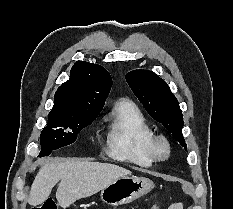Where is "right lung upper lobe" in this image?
I'll return each mask as SVG.
<instances>
[{
    "mask_svg": "<svg viewBox=\"0 0 233 209\" xmlns=\"http://www.w3.org/2000/svg\"><path fill=\"white\" fill-rule=\"evenodd\" d=\"M112 78L102 66L84 61L76 62L70 79L55 93V103L49 115H57L74 109H101L110 92Z\"/></svg>",
    "mask_w": 233,
    "mask_h": 209,
    "instance_id": "1",
    "label": "right lung upper lobe"
}]
</instances>
